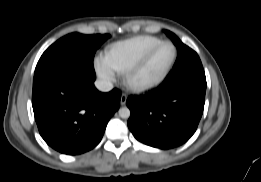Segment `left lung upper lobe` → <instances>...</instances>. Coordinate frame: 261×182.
Instances as JSON below:
<instances>
[{"instance_id":"1","label":"left lung upper lobe","mask_w":261,"mask_h":182,"mask_svg":"<svg viewBox=\"0 0 261 182\" xmlns=\"http://www.w3.org/2000/svg\"><path fill=\"white\" fill-rule=\"evenodd\" d=\"M165 33L177 46L178 57L173 69L170 71L162 84H167L191 74L204 72L202 63L197 53L183 44L174 33L170 31H165Z\"/></svg>"}]
</instances>
